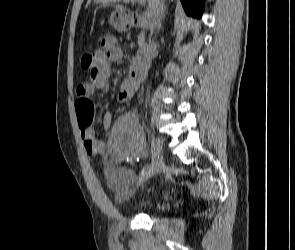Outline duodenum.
Here are the masks:
<instances>
[{
    "label": "duodenum",
    "instance_id": "410a0bca",
    "mask_svg": "<svg viewBox=\"0 0 295 250\" xmlns=\"http://www.w3.org/2000/svg\"><path fill=\"white\" fill-rule=\"evenodd\" d=\"M129 21L131 22L133 26L139 27V28H147L151 25L149 21L142 14L136 13V12L130 13ZM148 56H149V51H145L135 61L133 71H134L135 77L138 80H143L147 76L148 64H149Z\"/></svg>",
    "mask_w": 295,
    "mask_h": 250
}]
</instances>
